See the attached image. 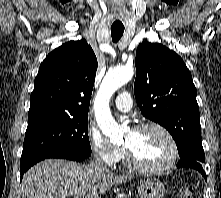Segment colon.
I'll return each instance as SVG.
<instances>
[{
  "instance_id": "colon-1",
  "label": "colon",
  "mask_w": 221,
  "mask_h": 198,
  "mask_svg": "<svg viewBox=\"0 0 221 198\" xmlns=\"http://www.w3.org/2000/svg\"><path fill=\"white\" fill-rule=\"evenodd\" d=\"M194 188L192 185H184L180 189L179 198H193Z\"/></svg>"
}]
</instances>
